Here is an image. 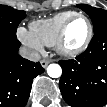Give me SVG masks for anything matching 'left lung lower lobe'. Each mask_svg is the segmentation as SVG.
I'll use <instances>...</instances> for the list:
<instances>
[{"label": "left lung lower lobe", "instance_id": "1", "mask_svg": "<svg viewBox=\"0 0 107 107\" xmlns=\"http://www.w3.org/2000/svg\"><path fill=\"white\" fill-rule=\"evenodd\" d=\"M61 94L71 107L107 104V26L94 32L85 52L75 60H60Z\"/></svg>", "mask_w": 107, "mask_h": 107}]
</instances>
